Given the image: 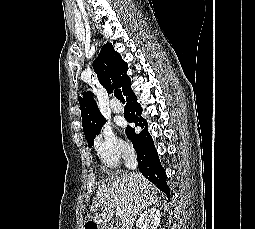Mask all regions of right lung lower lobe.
<instances>
[{"label":"right lung lower lobe","mask_w":255,"mask_h":229,"mask_svg":"<svg viewBox=\"0 0 255 229\" xmlns=\"http://www.w3.org/2000/svg\"><path fill=\"white\" fill-rule=\"evenodd\" d=\"M123 94L126 96L127 100V106L124 112L125 119L129 123H133L136 127L142 128V131L138 134L134 133L133 128L129 126L126 128V134L132 141L137 153L139 170L149 181L155 184L170 198L166 173L161 166L153 139L148 132V124L146 120L141 117L142 108L139 103H137V98L131 89L130 79Z\"/></svg>","instance_id":"1"}]
</instances>
